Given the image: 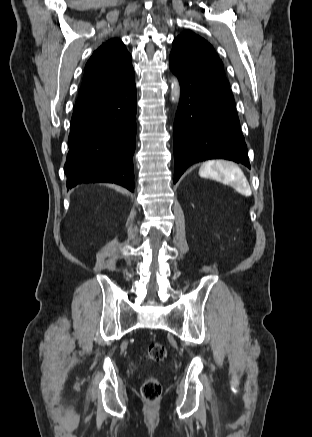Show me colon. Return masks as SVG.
<instances>
[{
  "label": "colon",
  "instance_id": "1",
  "mask_svg": "<svg viewBox=\"0 0 312 437\" xmlns=\"http://www.w3.org/2000/svg\"><path fill=\"white\" fill-rule=\"evenodd\" d=\"M145 357L153 362H161L166 357V349L161 343H150L145 349ZM161 392L162 387L157 378H149L142 386V396L148 401L157 400Z\"/></svg>",
  "mask_w": 312,
  "mask_h": 437
}]
</instances>
